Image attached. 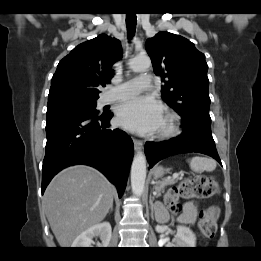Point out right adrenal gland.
<instances>
[{
    "label": "right adrenal gland",
    "mask_w": 261,
    "mask_h": 261,
    "mask_svg": "<svg viewBox=\"0 0 261 261\" xmlns=\"http://www.w3.org/2000/svg\"><path fill=\"white\" fill-rule=\"evenodd\" d=\"M113 211V206L110 208V212H112Z\"/></svg>",
    "instance_id": "1"
}]
</instances>
